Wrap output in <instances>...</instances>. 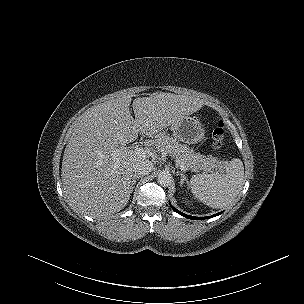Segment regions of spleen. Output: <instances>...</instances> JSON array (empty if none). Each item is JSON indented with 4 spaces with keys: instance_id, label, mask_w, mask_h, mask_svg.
Masks as SVG:
<instances>
[{
    "instance_id": "obj_1",
    "label": "spleen",
    "mask_w": 304,
    "mask_h": 304,
    "mask_svg": "<svg viewBox=\"0 0 304 304\" xmlns=\"http://www.w3.org/2000/svg\"><path fill=\"white\" fill-rule=\"evenodd\" d=\"M244 184L243 162L235 158L221 170L212 174H197L190 179L194 197L211 208L229 206Z\"/></svg>"
}]
</instances>
